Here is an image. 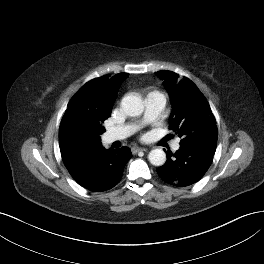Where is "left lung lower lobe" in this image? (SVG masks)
<instances>
[{"mask_svg":"<svg viewBox=\"0 0 264 264\" xmlns=\"http://www.w3.org/2000/svg\"><path fill=\"white\" fill-rule=\"evenodd\" d=\"M166 163L157 169L165 182L186 187L198 182L210 167L215 151L205 148H185L175 153L166 152Z\"/></svg>","mask_w":264,"mask_h":264,"instance_id":"obj_1","label":"left lung lower lobe"}]
</instances>
